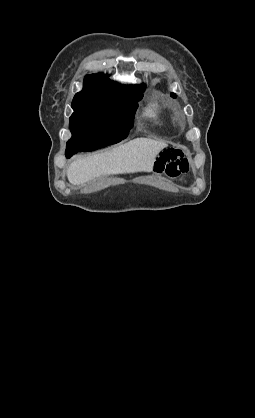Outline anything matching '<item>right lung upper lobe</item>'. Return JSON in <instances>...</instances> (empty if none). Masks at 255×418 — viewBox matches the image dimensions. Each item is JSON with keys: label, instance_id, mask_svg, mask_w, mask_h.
Masks as SVG:
<instances>
[{"label": "right lung upper lobe", "instance_id": "1", "mask_svg": "<svg viewBox=\"0 0 255 418\" xmlns=\"http://www.w3.org/2000/svg\"><path fill=\"white\" fill-rule=\"evenodd\" d=\"M145 86H123L114 81L109 80L108 76L104 74L87 75L84 80L83 90L77 94L82 93H131L141 91Z\"/></svg>", "mask_w": 255, "mask_h": 418}]
</instances>
